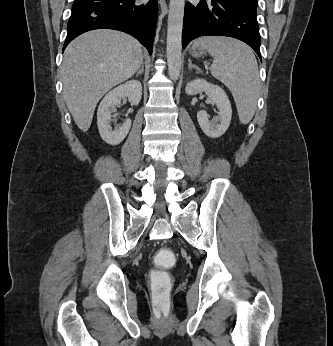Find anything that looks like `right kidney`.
I'll list each match as a JSON object with an SVG mask.
<instances>
[{
    "instance_id": "right-kidney-1",
    "label": "right kidney",
    "mask_w": 333,
    "mask_h": 346,
    "mask_svg": "<svg viewBox=\"0 0 333 346\" xmlns=\"http://www.w3.org/2000/svg\"><path fill=\"white\" fill-rule=\"evenodd\" d=\"M142 96V85L138 80H130L109 91L99 104L97 111V125L101 138L110 145L120 144L127 136L131 120L127 119L120 127L113 130L111 113L121 103V99L128 97L132 105H138Z\"/></svg>"
}]
</instances>
